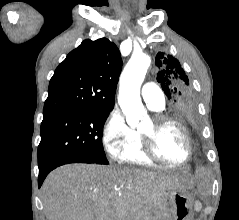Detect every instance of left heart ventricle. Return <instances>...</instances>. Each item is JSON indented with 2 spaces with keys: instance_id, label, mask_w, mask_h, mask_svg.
<instances>
[{
  "instance_id": "1",
  "label": "left heart ventricle",
  "mask_w": 239,
  "mask_h": 220,
  "mask_svg": "<svg viewBox=\"0 0 239 220\" xmlns=\"http://www.w3.org/2000/svg\"><path fill=\"white\" fill-rule=\"evenodd\" d=\"M140 130L146 133L152 132V123L147 119L141 126ZM156 148L164 158L180 162L187 156V146L180 130L173 126L167 125L155 133Z\"/></svg>"
}]
</instances>
